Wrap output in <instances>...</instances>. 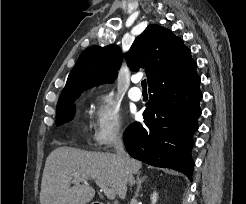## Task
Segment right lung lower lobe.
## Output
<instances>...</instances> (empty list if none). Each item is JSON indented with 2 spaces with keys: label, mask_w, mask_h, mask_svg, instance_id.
Listing matches in <instances>:
<instances>
[{
  "label": "right lung lower lobe",
  "mask_w": 246,
  "mask_h": 204,
  "mask_svg": "<svg viewBox=\"0 0 246 204\" xmlns=\"http://www.w3.org/2000/svg\"><path fill=\"white\" fill-rule=\"evenodd\" d=\"M196 62L170 72L149 84L150 95L143 122L124 133L128 153L147 164L178 170L191 179L192 134L201 115L200 77Z\"/></svg>",
  "instance_id": "98d812e1"
}]
</instances>
